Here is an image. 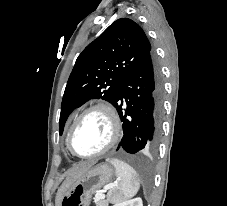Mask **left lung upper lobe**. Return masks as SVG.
<instances>
[{
    "mask_svg": "<svg viewBox=\"0 0 227 206\" xmlns=\"http://www.w3.org/2000/svg\"><path fill=\"white\" fill-rule=\"evenodd\" d=\"M151 53L137 23L128 18L113 22L76 60L61 104L60 135L70 113L88 100L102 98L114 105L125 78Z\"/></svg>",
    "mask_w": 227,
    "mask_h": 206,
    "instance_id": "left-lung-upper-lobe-1",
    "label": "left lung upper lobe"
}]
</instances>
